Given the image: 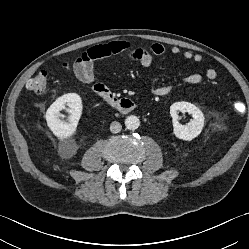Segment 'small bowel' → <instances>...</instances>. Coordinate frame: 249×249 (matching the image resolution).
<instances>
[{
	"mask_svg": "<svg viewBox=\"0 0 249 249\" xmlns=\"http://www.w3.org/2000/svg\"><path fill=\"white\" fill-rule=\"evenodd\" d=\"M166 48L161 43H152L148 46L131 40H111L109 42L91 47L82 53L74 62L70 63L73 75L82 83L90 84L94 81V63L99 59H105L116 55H123L128 61L138 62L144 68H150L154 56L164 54ZM170 52L173 55L180 53L178 46H172ZM183 57L186 60L194 62H201L203 57L199 53L192 51H184ZM208 80H214L217 77V72L214 69H208L205 73ZM203 81V76L199 73H192L182 79L184 84L196 85ZM174 85L172 84H158L157 78L154 77L151 85V92L155 96L168 95ZM94 91L109 90L103 83H95L93 85Z\"/></svg>",
	"mask_w": 249,
	"mask_h": 249,
	"instance_id": "c3829d8e",
	"label": "small bowel"
}]
</instances>
